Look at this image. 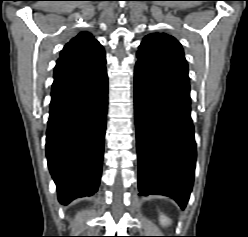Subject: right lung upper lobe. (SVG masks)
I'll use <instances>...</instances> for the list:
<instances>
[{
  "instance_id": "obj_1",
  "label": "right lung upper lobe",
  "mask_w": 248,
  "mask_h": 237,
  "mask_svg": "<svg viewBox=\"0 0 248 237\" xmlns=\"http://www.w3.org/2000/svg\"><path fill=\"white\" fill-rule=\"evenodd\" d=\"M105 63L102 45L88 32H81L64 46L56 62L54 79L87 73Z\"/></svg>"
}]
</instances>
